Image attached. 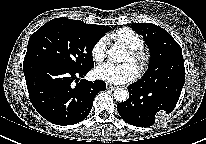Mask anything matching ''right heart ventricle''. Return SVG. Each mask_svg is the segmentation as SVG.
Masks as SVG:
<instances>
[{"label": "right heart ventricle", "mask_w": 206, "mask_h": 144, "mask_svg": "<svg viewBox=\"0 0 206 144\" xmlns=\"http://www.w3.org/2000/svg\"><path fill=\"white\" fill-rule=\"evenodd\" d=\"M115 39L126 45L129 49H142L144 46L143 38L135 31L129 28H121L110 35Z\"/></svg>", "instance_id": "e07e8e85"}]
</instances>
